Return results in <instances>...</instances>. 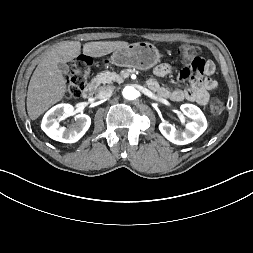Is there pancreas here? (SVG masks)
I'll use <instances>...</instances> for the list:
<instances>
[{"instance_id":"obj_1","label":"pancreas","mask_w":253,"mask_h":253,"mask_svg":"<svg viewBox=\"0 0 253 253\" xmlns=\"http://www.w3.org/2000/svg\"><path fill=\"white\" fill-rule=\"evenodd\" d=\"M122 82L123 78L116 74L115 72H110V71H103L101 73H98L96 77L94 78L93 82L96 85L102 84H112L113 82Z\"/></svg>"}]
</instances>
